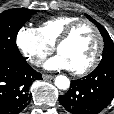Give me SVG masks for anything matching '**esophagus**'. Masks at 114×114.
<instances>
[{
  "instance_id": "34e87169",
  "label": "esophagus",
  "mask_w": 114,
  "mask_h": 114,
  "mask_svg": "<svg viewBox=\"0 0 114 114\" xmlns=\"http://www.w3.org/2000/svg\"><path fill=\"white\" fill-rule=\"evenodd\" d=\"M42 78H43L44 80H51V79L54 78V76H53V75H48V74H43V75H42Z\"/></svg>"
}]
</instances>
